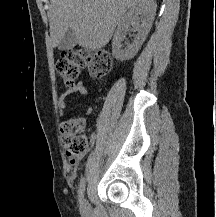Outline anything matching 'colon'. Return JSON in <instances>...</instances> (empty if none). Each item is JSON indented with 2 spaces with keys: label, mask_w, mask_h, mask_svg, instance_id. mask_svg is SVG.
Returning a JSON list of instances; mask_svg holds the SVG:
<instances>
[{
  "label": "colon",
  "mask_w": 216,
  "mask_h": 217,
  "mask_svg": "<svg viewBox=\"0 0 216 217\" xmlns=\"http://www.w3.org/2000/svg\"><path fill=\"white\" fill-rule=\"evenodd\" d=\"M113 59L106 50L68 49L56 61L55 69L67 86H73L84 67L94 80H103L111 71ZM66 155L75 164L88 149V139L82 118H71L62 124Z\"/></svg>",
  "instance_id": "obj_1"
}]
</instances>
